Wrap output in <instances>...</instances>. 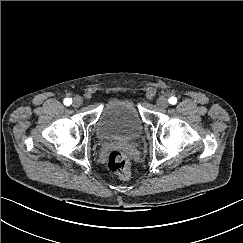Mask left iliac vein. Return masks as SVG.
Masks as SVG:
<instances>
[{"instance_id":"obj_1","label":"left iliac vein","mask_w":243,"mask_h":243,"mask_svg":"<svg viewBox=\"0 0 243 243\" xmlns=\"http://www.w3.org/2000/svg\"><path fill=\"white\" fill-rule=\"evenodd\" d=\"M157 105L160 108H167L168 105H169L168 99L164 96L159 97L158 100H157Z\"/></svg>"}]
</instances>
